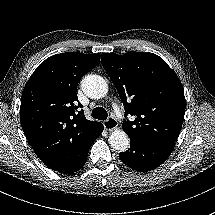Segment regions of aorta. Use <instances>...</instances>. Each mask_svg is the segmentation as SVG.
<instances>
[{"mask_svg":"<svg viewBox=\"0 0 215 215\" xmlns=\"http://www.w3.org/2000/svg\"><path fill=\"white\" fill-rule=\"evenodd\" d=\"M82 86L86 94L91 98H102L108 92V85L101 76L88 75L82 80ZM110 146L118 152H125L129 149L130 138L123 130H114L109 136Z\"/></svg>","mask_w":215,"mask_h":215,"instance_id":"1","label":"aorta"}]
</instances>
